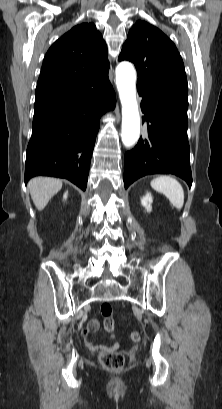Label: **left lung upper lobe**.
<instances>
[{
    "mask_svg": "<svg viewBox=\"0 0 222 409\" xmlns=\"http://www.w3.org/2000/svg\"><path fill=\"white\" fill-rule=\"evenodd\" d=\"M118 59L135 64L139 95L188 102L182 58L174 43L155 26L137 21L129 31Z\"/></svg>",
    "mask_w": 222,
    "mask_h": 409,
    "instance_id": "left-lung-upper-lobe-1",
    "label": "left lung upper lobe"
}]
</instances>
